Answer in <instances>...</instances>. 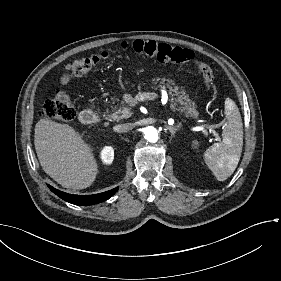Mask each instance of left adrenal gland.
Returning <instances> with one entry per match:
<instances>
[{
  "mask_svg": "<svg viewBox=\"0 0 281 281\" xmlns=\"http://www.w3.org/2000/svg\"><path fill=\"white\" fill-rule=\"evenodd\" d=\"M167 128L174 138H177V134L181 132L179 128H173L169 126Z\"/></svg>",
  "mask_w": 281,
  "mask_h": 281,
  "instance_id": "obj_1",
  "label": "left adrenal gland"
}]
</instances>
